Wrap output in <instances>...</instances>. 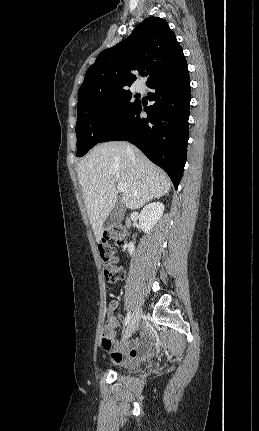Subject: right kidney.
I'll list each match as a JSON object with an SVG mask.
<instances>
[{"mask_svg":"<svg viewBox=\"0 0 259 431\" xmlns=\"http://www.w3.org/2000/svg\"><path fill=\"white\" fill-rule=\"evenodd\" d=\"M164 212V205L161 202H153L146 205L140 215L139 223L144 232L150 234V231L154 225L160 220ZM128 252L133 255L135 252V246L132 242L129 243Z\"/></svg>","mask_w":259,"mask_h":431,"instance_id":"1","label":"right kidney"}]
</instances>
